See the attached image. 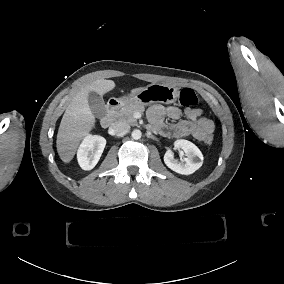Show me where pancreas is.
Listing matches in <instances>:
<instances>
[{
	"instance_id": "obj_1",
	"label": "pancreas",
	"mask_w": 284,
	"mask_h": 284,
	"mask_svg": "<svg viewBox=\"0 0 284 284\" xmlns=\"http://www.w3.org/2000/svg\"><path fill=\"white\" fill-rule=\"evenodd\" d=\"M146 110L144 105H126L116 112V119L123 121L131 126L137 125V120L133 117L135 112L143 114Z\"/></svg>"
}]
</instances>
